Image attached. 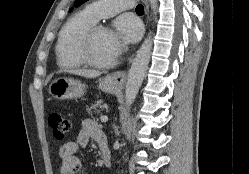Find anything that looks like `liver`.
Instances as JSON below:
<instances>
[{"label":"liver","mask_w":249,"mask_h":174,"mask_svg":"<svg viewBox=\"0 0 249 174\" xmlns=\"http://www.w3.org/2000/svg\"><path fill=\"white\" fill-rule=\"evenodd\" d=\"M64 72L86 77V78H96L101 75L100 71L86 70V69H71V70H65Z\"/></svg>","instance_id":"obj_1"}]
</instances>
